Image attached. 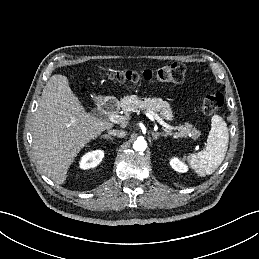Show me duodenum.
<instances>
[{
    "label": "duodenum",
    "mask_w": 259,
    "mask_h": 259,
    "mask_svg": "<svg viewBox=\"0 0 259 259\" xmlns=\"http://www.w3.org/2000/svg\"><path fill=\"white\" fill-rule=\"evenodd\" d=\"M98 110L104 114L113 113L117 109V101L113 98H108L100 101L98 104Z\"/></svg>",
    "instance_id": "1"
}]
</instances>
